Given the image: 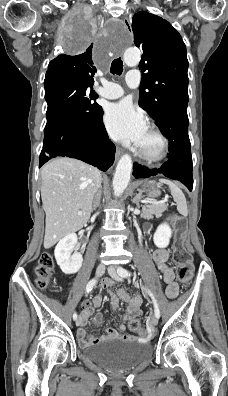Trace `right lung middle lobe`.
Segmentation results:
<instances>
[{"label":"right lung middle lobe","instance_id":"1","mask_svg":"<svg viewBox=\"0 0 228 396\" xmlns=\"http://www.w3.org/2000/svg\"><path fill=\"white\" fill-rule=\"evenodd\" d=\"M92 26H79L71 43L75 49H83L93 38ZM91 84L71 77L45 78V99L48 104L46 118L50 123L59 118L92 121L100 111L93 100L98 95L89 87Z\"/></svg>","mask_w":228,"mask_h":396}]
</instances>
